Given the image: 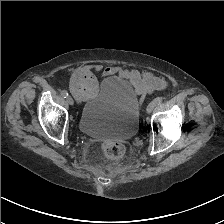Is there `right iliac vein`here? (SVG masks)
Returning <instances> with one entry per match:
<instances>
[{
    "label": "right iliac vein",
    "mask_w": 224,
    "mask_h": 224,
    "mask_svg": "<svg viewBox=\"0 0 224 224\" xmlns=\"http://www.w3.org/2000/svg\"><path fill=\"white\" fill-rule=\"evenodd\" d=\"M66 100H67V102H68L69 105H73V104H74V101H73V99H72L71 96H68V97L66 98Z\"/></svg>",
    "instance_id": "obj_1"
}]
</instances>
